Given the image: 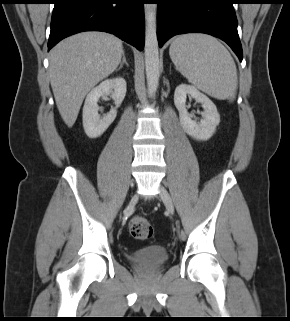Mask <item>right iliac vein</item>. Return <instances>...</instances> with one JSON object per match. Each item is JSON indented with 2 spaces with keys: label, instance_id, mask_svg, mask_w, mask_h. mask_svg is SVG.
Returning a JSON list of instances; mask_svg holds the SVG:
<instances>
[{
  "label": "right iliac vein",
  "instance_id": "1",
  "mask_svg": "<svg viewBox=\"0 0 290 321\" xmlns=\"http://www.w3.org/2000/svg\"><path fill=\"white\" fill-rule=\"evenodd\" d=\"M137 200V197L136 196H133L128 204V207H127V210L130 209L136 202Z\"/></svg>",
  "mask_w": 290,
  "mask_h": 321
}]
</instances>
